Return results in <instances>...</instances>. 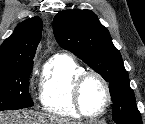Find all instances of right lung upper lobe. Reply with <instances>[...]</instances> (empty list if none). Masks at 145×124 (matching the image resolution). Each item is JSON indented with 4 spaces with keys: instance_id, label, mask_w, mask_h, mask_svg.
Here are the masks:
<instances>
[{
    "instance_id": "obj_1",
    "label": "right lung upper lobe",
    "mask_w": 145,
    "mask_h": 124,
    "mask_svg": "<svg viewBox=\"0 0 145 124\" xmlns=\"http://www.w3.org/2000/svg\"><path fill=\"white\" fill-rule=\"evenodd\" d=\"M42 28V21L38 16L20 23L0 47V69L14 68L33 62Z\"/></svg>"
}]
</instances>
